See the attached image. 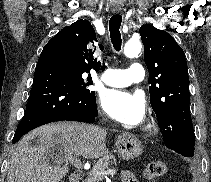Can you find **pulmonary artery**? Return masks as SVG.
<instances>
[{"mask_svg":"<svg viewBox=\"0 0 211 182\" xmlns=\"http://www.w3.org/2000/svg\"><path fill=\"white\" fill-rule=\"evenodd\" d=\"M145 70L139 63H133L126 70L108 69L101 76V80L114 87H124L132 83L141 82L144 79Z\"/></svg>","mask_w":211,"mask_h":182,"instance_id":"obj_1","label":"pulmonary artery"}]
</instances>
